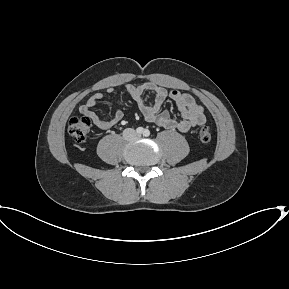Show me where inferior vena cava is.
<instances>
[{"label": "inferior vena cava", "instance_id": "obj_1", "mask_svg": "<svg viewBox=\"0 0 289 289\" xmlns=\"http://www.w3.org/2000/svg\"><path fill=\"white\" fill-rule=\"evenodd\" d=\"M123 137L126 139V140H129V141H132L134 139L137 138V133L134 129L132 128H127L123 131Z\"/></svg>", "mask_w": 289, "mask_h": 289}]
</instances>
